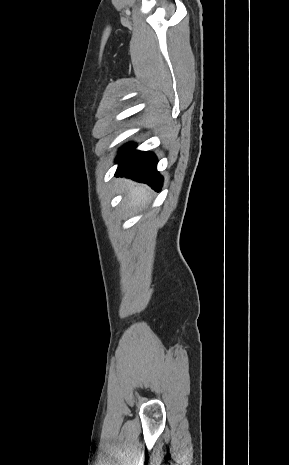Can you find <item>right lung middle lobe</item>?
I'll return each instance as SVG.
<instances>
[{
	"mask_svg": "<svg viewBox=\"0 0 289 465\" xmlns=\"http://www.w3.org/2000/svg\"><path fill=\"white\" fill-rule=\"evenodd\" d=\"M135 148V144H127L126 146H124L120 152H119V156L117 157V161H120L122 160L124 157H126L131 151H133Z\"/></svg>",
	"mask_w": 289,
	"mask_h": 465,
	"instance_id": "dd1d6c3e",
	"label": "right lung middle lobe"
}]
</instances>
